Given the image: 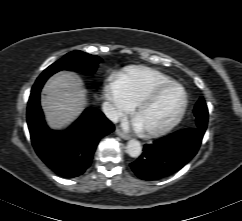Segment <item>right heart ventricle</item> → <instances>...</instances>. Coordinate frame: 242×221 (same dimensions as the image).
Wrapping results in <instances>:
<instances>
[{
  "label": "right heart ventricle",
  "instance_id": "right-heart-ventricle-1",
  "mask_svg": "<svg viewBox=\"0 0 242 221\" xmlns=\"http://www.w3.org/2000/svg\"><path fill=\"white\" fill-rule=\"evenodd\" d=\"M116 83L132 106L158 86L174 82L167 75L148 68H129L115 78Z\"/></svg>",
  "mask_w": 242,
  "mask_h": 221
}]
</instances>
